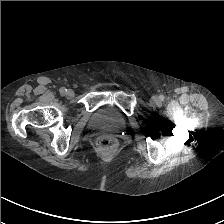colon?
<instances>
[{
  "label": "colon",
  "instance_id": "colon-1",
  "mask_svg": "<svg viewBox=\"0 0 224 224\" xmlns=\"http://www.w3.org/2000/svg\"><path fill=\"white\" fill-rule=\"evenodd\" d=\"M98 145L103 149H109L114 147L115 140L108 136H102L98 139Z\"/></svg>",
  "mask_w": 224,
  "mask_h": 224
}]
</instances>
